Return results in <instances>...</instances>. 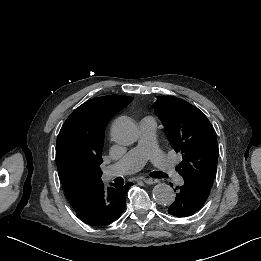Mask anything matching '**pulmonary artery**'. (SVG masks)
<instances>
[{
  "label": "pulmonary artery",
  "mask_w": 261,
  "mask_h": 261,
  "mask_svg": "<svg viewBox=\"0 0 261 261\" xmlns=\"http://www.w3.org/2000/svg\"><path fill=\"white\" fill-rule=\"evenodd\" d=\"M157 123L151 117L139 121V142L130 149L123 158L103 171L105 180L138 170L151 155L159 171L166 175V182L170 186H177L181 182V175L174 171V164L166 153H160L156 148Z\"/></svg>",
  "instance_id": "pulmonary-artery-1"
}]
</instances>
